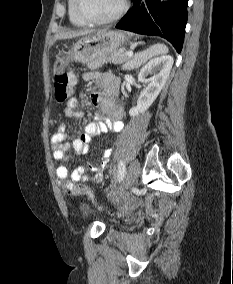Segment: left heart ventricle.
<instances>
[{"label":"left heart ventricle","instance_id":"left-heart-ventricle-1","mask_svg":"<svg viewBox=\"0 0 233 284\" xmlns=\"http://www.w3.org/2000/svg\"><path fill=\"white\" fill-rule=\"evenodd\" d=\"M122 2L123 0H84V9L91 17L104 19L115 14Z\"/></svg>","mask_w":233,"mask_h":284}]
</instances>
